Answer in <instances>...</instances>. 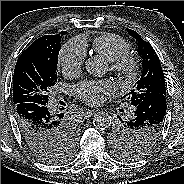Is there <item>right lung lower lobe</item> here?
<instances>
[{
  "mask_svg": "<svg viewBox=\"0 0 184 184\" xmlns=\"http://www.w3.org/2000/svg\"><path fill=\"white\" fill-rule=\"evenodd\" d=\"M15 117L24 141L33 152L53 147L69 126L64 113L54 115L46 104L23 102L15 105Z\"/></svg>",
  "mask_w": 184,
  "mask_h": 184,
  "instance_id": "1",
  "label": "right lung lower lobe"
}]
</instances>
